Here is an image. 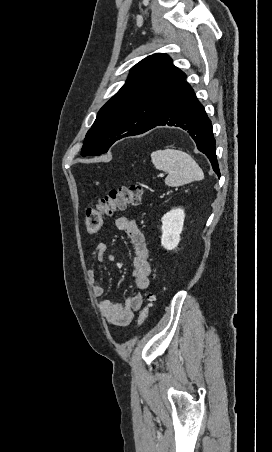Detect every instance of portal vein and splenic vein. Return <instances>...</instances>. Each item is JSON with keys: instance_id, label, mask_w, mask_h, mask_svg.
<instances>
[{"instance_id": "obj_1", "label": "portal vein and splenic vein", "mask_w": 272, "mask_h": 452, "mask_svg": "<svg viewBox=\"0 0 272 452\" xmlns=\"http://www.w3.org/2000/svg\"><path fill=\"white\" fill-rule=\"evenodd\" d=\"M159 176H160V177H163L164 175H163V174H160Z\"/></svg>"}]
</instances>
